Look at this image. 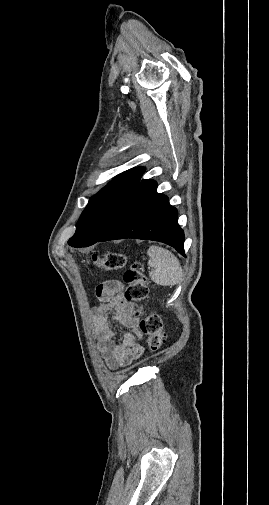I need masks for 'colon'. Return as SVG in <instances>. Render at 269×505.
<instances>
[{"mask_svg":"<svg viewBox=\"0 0 269 505\" xmlns=\"http://www.w3.org/2000/svg\"><path fill=\"white\" fill-rule=\"evenodd\" d=\"M95 266L106 270H120L127 264V257L121 252L109 251L102 256L93 255L91 258ZM126 284L125 298L128 301L140 303L149 294V280L137 264L132 263L124 273ZM135 315L139 317L140 331L147 337L150 351H158L165 343L163 321L157 313H146L139 305Z\"/></svg>","mask_w":269,"mask_h":505,"instance_id":"colon-1","label":"colon"}]
</instances>
